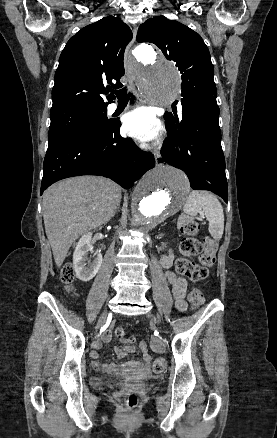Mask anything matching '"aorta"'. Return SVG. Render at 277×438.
<instances>
[{"instance_id":"aorta-1","label":"aorta","mask_w":277,"mask_h":438,"mask_svg":"<svg viewBox=\"0 0 277 438\" xmlns=\"http://www.w3.org/2000/svg\"><path fill=\"white\" fill-rule=\"evenodd\" d=\"M134 54L140 62L134 72L138 87L147 99L167 104L180 89L176 66L147 45L136 47ZM189 189V181L181 170L157 166L134 189L127 226L132 230L154 228L182 208Z\"/></svg>"}]
</instances>
